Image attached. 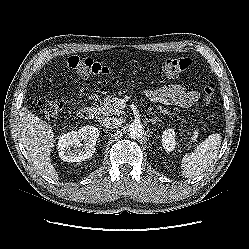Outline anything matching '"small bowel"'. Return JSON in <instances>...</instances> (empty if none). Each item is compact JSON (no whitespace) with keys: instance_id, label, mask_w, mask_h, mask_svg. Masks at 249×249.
<instances>
[{"instance_id":"obj_1","label":"small bowel","mask_w":249,"mask_h":249,"mask_svg":"<svg viewBox=\"0 0 249 249\" xmlns=\"http://www.w3.org/2000/svg\"><path fill=\"white\" fill-rule=\"evenodd\" d=\"M146 95L154 101L181 107L192 106L200 97L197 91L187 90L179 84H171L155 90H148Z\"/></svg>"}]
</instances>
